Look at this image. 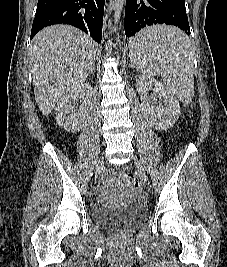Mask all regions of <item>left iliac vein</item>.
Instances as JSON below:
<instances>
[{"mask_svg":"<svg viewBox=\"0 0 227 267\" xmlns=\"http://www.w3.org/2000/svg\"><path fill=\"white\" fill-rule=\"evenodd\" d=\"M135 165H136V168L139 172V175L142 179H146V173H145V169L144 167L142 166V164L140 163V161H138L137 158H135Z\"/></svg>","mask_w":227,"mask_h":267,"instance_id":"obj_1","label":"left iliac vein"}]
</instances>
